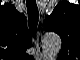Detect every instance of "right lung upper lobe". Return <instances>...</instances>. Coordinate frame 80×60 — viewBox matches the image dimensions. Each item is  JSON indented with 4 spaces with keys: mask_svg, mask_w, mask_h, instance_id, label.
<instances>
[{
    "mask_svg": "<svg viewBox=\"0 0 80 60\" xmlns=\"http://www.w3.org/2000/svg\"><path fill=\"white\" fill-rule=\"evenodd\" d=\"M0 40L2 46L11 52L26 55V49L31 46L26 18L11 4H5L0 8Z\"/></svg>",
    "mask_w": 80,
    "mask_h": 60,
    "instance_id": "right-lung-upper-lobe-1",
    "label": "right lung upper lobe"
}]
</instances>
